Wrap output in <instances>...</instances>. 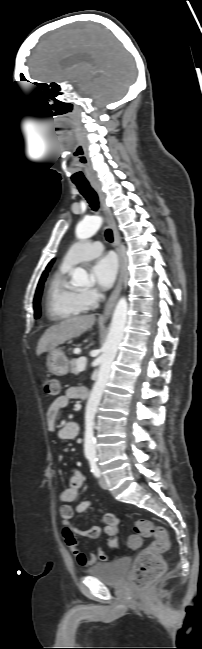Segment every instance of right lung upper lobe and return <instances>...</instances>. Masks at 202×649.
<instances>
[{
    "mask_svg": "<svg viewBox=\"0 0 202 649\" xmlns=\"http://www.w3.org/2000/svg\"><path fill=\"white\" fill-rule=\"evenodd\" d=\"M51 265H52V262H50V263L48 264V266L46 267V270L43 272V274H44L45 272H48V271H49Z\"/></svg>",
    "mask_w": 202,
    "mask_h": 649,
    "instance_id": "right-lung-upper-lobe-1",
    "label": "right lung upper lobe"
}]
</instances>
